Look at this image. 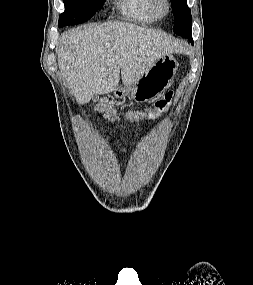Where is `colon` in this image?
Listing matches in <instances>:
<instances>
[{
    "label": "colon",
    "mask_w": 253,
    "mask_h": 285,
    "mask_svg": "<svg viewBox=\"0 0 253 285\" xmlns=\"http://www.w3.org/2000/svg\"><path fill=\"white\" fill-rule=\"evenodd\" d=\"M173 96L174 90H169L163 98H161L154 104L152 108L146 111H128L126 113V118L131 122L139 121L142 119L154 118L168 107V105L172 102ZM100 108L105 112V115L108 119H116L117 112L110 103L103 102L101 103Z\"/></svg>",
    "instance_id": "obj_1"
}]
</instances>
